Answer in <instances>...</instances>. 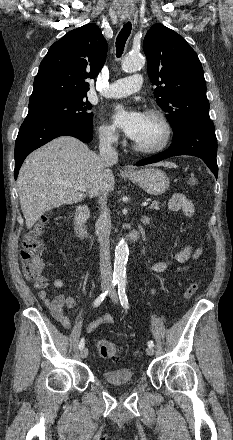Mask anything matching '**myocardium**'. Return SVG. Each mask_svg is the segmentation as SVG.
<instances>
[{
    "label": "myocardium",
    "instance_id": "f54148a6",
    "mask_svg": "<svg viewBox=\"0 0 233 440\" xmlns=\"http://www.w3.org/2000/svg\"><path fill=\"white\" fill-rule=\"evenodd\" d=\"M145 115L157 120L160 123L164 132L163 138L154 146H143L133 141V148L142 154H156L163 151L170 143L172 138V127L167 117L159 110L149 109L145 112Z\"/></svg>",
    "mask_w": 233,
    "mask_h": 440
}]
</instances>
